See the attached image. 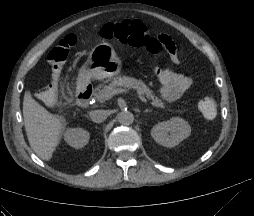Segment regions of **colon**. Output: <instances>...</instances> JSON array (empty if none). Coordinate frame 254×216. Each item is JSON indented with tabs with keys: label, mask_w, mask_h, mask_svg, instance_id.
I'll list each match as a JSON object with an SVG mask.
<instances>
[{
	"label": "colon",
	"mask_w": 254,
	"mask_h": 216,
	"mask_svg": "<svg viewBox=\"0 0 254 216\" xmlns=\"http://www.w3.org/2000/svg\"><path fill=\"white\" fill-rule=\"evenodd\" d=\"M99 34L107 40H116L124 45L143 47L153 54L162 51L169 54L162 44V38L168 36L150 34L146 26L137 20L106 23L101 27ZM75 44L76 37L72 34L67 35L48 54L47 59L51 68L52 81L43 91L38 93L41 100L48 105H53L58 99V82L61 78L62 69ZM198 109L203 117L213 119L217 113L216 99L212 95L202 96L198 103Z\"/></svg>",
	"instance_id": "1"
}]
</instances>
